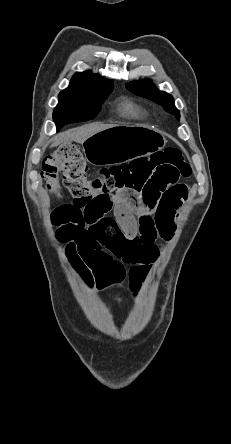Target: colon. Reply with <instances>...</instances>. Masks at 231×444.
<instances>
[{
	"label": "colon",
	"mask_w": 231,
	"mask_h": 444,
	"mask_svg": "<svg viewBox=\"0 0 231 444\" xmlns=\"http://www.w3.org/2000/svg\"><path fill=\"white\" fill-rule=\"evenodd\" d=\"M41 174L50 191L60 194L61 175L64 186L74 200H84L92 197L108 198L123 191L141 193L153 184L173 186L179 179L191 174V167L178 149L167 148L150 157L102 168L89 174L79 149L73 144H64L45 158ZM52 220L57 226L66 222L67 217L61 207L53 211ZM68 259L73 267L78 264L76 255L70 253Z\"/></svg>",
	"instance_id": "colon-1"
}]
</instances>
